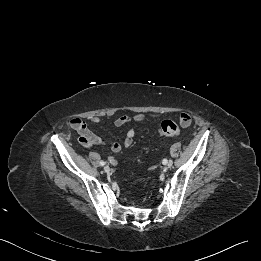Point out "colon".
Returning <instances> with one entry per match:
<instances>
[{
  "label": "colon",
  "instance_id": "obj_1",
  "mask_svg": "<svg viewBox=\"0 0 261 261\" xmlns=\"http://www.w3.org/2000/svg\"><path fill=\"white\" fill-rule=\"evenodd\" d=\"M189 120L187 118H180L179 124L188 123ZM179 124L173 120H165L162 122L159 134L162 137H176L180 134V126Z\"/></svg>",
  "mask_w": 261,
  "mask_h": 261
}]
</instances>
